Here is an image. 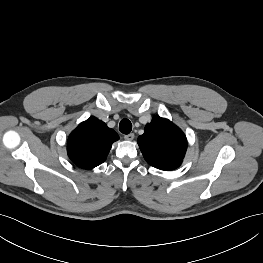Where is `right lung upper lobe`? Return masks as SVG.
<instances>
[{
    "label": "right lung upper lobe",
    "instance_id": "1",
    "mask_svg": "<svg viewBox=\"0 0 263 263\" xmlns=\"http://www.w3.org/2000/svg\"><path fill=\"white\" fill-rule=\"evenodd\" d=\"M118 139V134L103 121L90 117L70 134L68 156L81 168H94L106 160L112 144Z\"/></svg>",
    "mask_w": 263,
    "mask_h": 263
}]
</instances>
